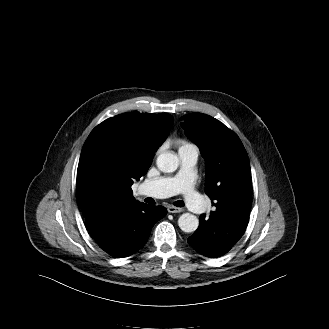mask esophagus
I'll return each instance as SVG.
<instances>
[{
    "label": "esophagus",
    "mask_w": 329,
    "mask_h": 329,
    "mask_svg": "<svg viewBox=\"0 0 329 329\" xmlns=\"http://www.w3.org/2000/svg\"><path fill=\"white\" fill-rule=\"evenodd\" d=\"M167 210H168L169 213H180V212L183 211L182 208L175 207V206H172V205L168 206Z\"/></svg>",
    "instance_id": "34e87169"
}]
</instances>
